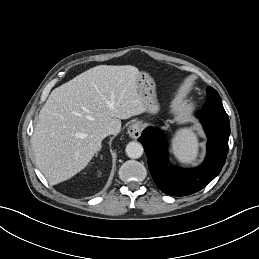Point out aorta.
Segmentation results:
<instances>
[{
	"mask_svg": "<svg viewBox=\"0 0 259 259\" xmlns=\"http://www.w3.org/2000/svg\"><path fill=\"white\" fill-rule=\"evenodd\" d=\"M143 146L136 141L129 142L126 146L125 152L129 158L138 159L143 154Z\"/></svg>",
	"mask_w": 259,
	"mask_h": 259,
	"instance_id": "obj_1",
	"label": "aorta"
}]
</instances>
